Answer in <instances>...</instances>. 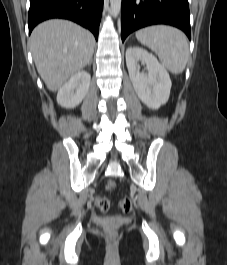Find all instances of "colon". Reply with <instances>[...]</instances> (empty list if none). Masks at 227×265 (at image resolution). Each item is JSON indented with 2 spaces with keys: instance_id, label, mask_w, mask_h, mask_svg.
Here are the masks:
<instances>
[{
  "instance_id": "5ec220e1",
  "label": "colon",
  "mask_w": 227,
  "mask_h": 265,
  "mask_svg": "<svg viewBox=\"0 0 227 265\" xmlns=\"http://www.w3.org/2000/svg\"><path fill=\"white\" fill-rule=\"evenodd\" d=\"M105 189L108 191H113L116 188V183L113 180H107L104 184ZM95 204L98 209L102 212H106L109 209L110 202L106 197H97L95 200ZM119 208L123 213H129L132 210V202L130 199H122L119 202ZM107 234L109 237L113 238L115 236V232L113 230H107Z\"/></svg>"
}]
</instances>
